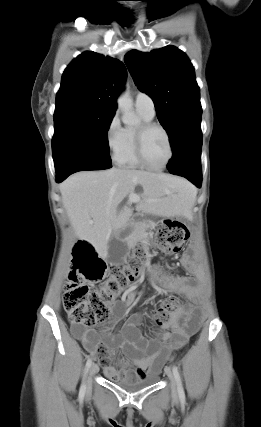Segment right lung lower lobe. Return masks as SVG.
<instances>
[{"label":"right lung lower lobe","mask_w":261,"mask_h":427,"mask_svg":"<svg viewBox=\"0 0 261 427\" xmlns=\"http://www.w3.org/2000/svg\"><path fill=\"white\" fill-rule=\"evenodd\" d=\"M111 164H98L81 160H66L58 165H55L57 173V182L65 180L72 173L82 170H103L111 168Z\"/></svg>","instance_id":"obj_1"}]
</instances>
